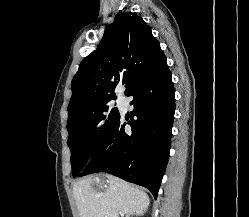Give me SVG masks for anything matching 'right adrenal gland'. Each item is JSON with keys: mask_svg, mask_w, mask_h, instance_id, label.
I'll list each match as a JSON object with an SVG mask.
<instances>
[{"mask_svg": "<svg viewBox=\"0 0 249 217\" xmlns=\"http://www.w3.org/2000/svg\"><path fill=\"white\" fill-rule=\"evenodd\" d=\"M125 217H130V215H129V214H127Z\"/></svg>", "mask_w": 249, "mask_h": 217, "instance_id": "obj_1", "label": "right adrenal gland"}]
</instances>
